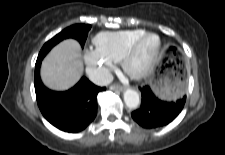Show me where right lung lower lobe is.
Listing matches in <instances>:
<instances>
[{
  "label": "right lung lower lobe",
  "instance_id": "obj_1",
  "mask_svg": "<svg viewBox=\"0 0 225 155\" xmlns=\"http://www.w3.org/2000/svg\"><path fill=\"white\" fill-rule=\"evenodd\" d=\"M41 61H36L34 78L36 99L41 113L62 131L75 133L84 130L96 117L98 92L106 88L95 86L82 77L68 91L49 90L39 77Z\"/></svg>",
  "mask_w": 225,
  "mask_h": 155
}]
</instances>
